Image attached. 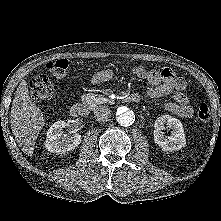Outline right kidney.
Instances as JSON below:
<instances>
[{"label":"right kidney","mask_w":221,"mask_h":221,"mask_svg":"<svg viewBox=\"0 0 221 221\" xmlns=\"http://www.w3.org/2000/svg\"><path fill=\"white\" fill-rule=\"evenodd\" d=\"M69 121H57L47 131L45 146L50 152L65 153L75 149L81 143V135L75 133L67 136L63 128L68 126Z\"/></svg>","instance_id":"1"}]
</instances>
